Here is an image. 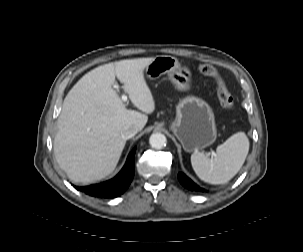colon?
<instances>
[{
	"label": "colon",
	"instance_id": "obj_1",
	"mask_svg": "<svg viewBox=\"0 0 303 252\" xmlns=\"http://www.w3.org/2000/svg\"><path fill=\"white\" fill-rule=\"evenodd\" d=\"M199 72L215 80L216 91L221 106L229 111H233L235 109L233 98L218 70L210 64H202L199 66Z\"/></svg>",
	"mask_w": 303,
	"mask_h": 252
}]
</instances>
